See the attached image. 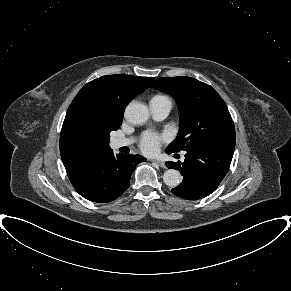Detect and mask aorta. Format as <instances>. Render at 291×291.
<instances>
[{
  "label": "aorta",
  "instance_id": "762f6f07",
  "mask_svg": "<svg viewBox=\"0 0 291 291\" xmlns=\"http://www.w3.org/2000/svg\"><path fill=\"white\" fill-rule=\"evenodd\" d=\"M125 118L130 123L143 124L149 118L148 107L142 103L131 102L125 109ZM163 181L169 187H177L182 181L181 173L175 169H168L164 172Z\"/></svg>",
  "mask_w": 291,
  "mask_h": 291
}]
</instances>
